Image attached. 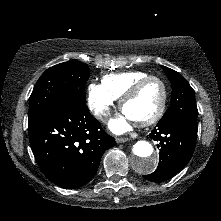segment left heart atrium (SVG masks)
<instances>
[{"instance_id": "39dd6f15", "label": "left heart atrium", "mask_w": 221, "mask_h": 221, "mask_svg": "<svg viewBox=\"0 0 221 221\" xmlns=\"http://www.w3.org/2000/svg\"><path fill=\"white\" fill-rule=\"evenodd\" d=\"M130 121L131 119L127 115L123 114L119 118L111 120L109 128L111 129L112 132L116 134H121L130 130L131 128Z\"/></svg>"}]
</instances>
